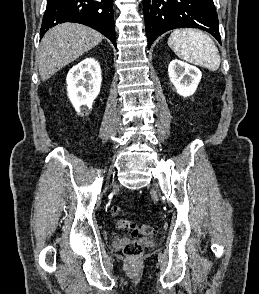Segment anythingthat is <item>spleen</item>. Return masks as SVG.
<instances>
[{
  "mask_svg": "<svg viewBox=\"0 0 259 294\" xmlns=\"http://www.w3.org/2000/svg\"><path fill=\"white\" fill-rule=\"evenodd\" d=\"M169 47L176 55L192 64L216 71L220 66L219 51L213 40L196 29H176L169 39Z\"/></svg>",
  "mask_w": 259,
  "mask_h": 294,
  "instance_id": "obj_1",
  "label": "spleen"
}]
</instances>
